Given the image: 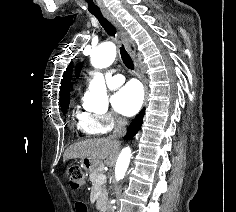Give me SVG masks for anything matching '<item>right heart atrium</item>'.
Masks as SVG:
<instances>
[{
  "mask_svg": "<svg viewBox=\"0 0 236 212\" xmlns=\"http://www.w3.org/2000/svg\"><path fill=\"white\" fill-rule=\"evenodd\" d=\"M90 119L101 130V133L109 132L119 122V119L112 113L92 115Z\"/></svg>",
  "mask_w": 236,
  "mask_h": 212,
  "instance_id": "obj_1",
  "label": "right heart atrium"
}]
</instances>
